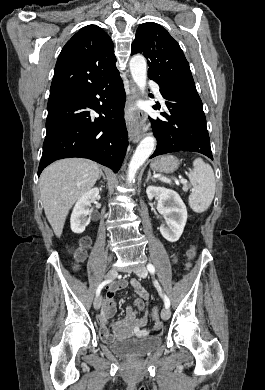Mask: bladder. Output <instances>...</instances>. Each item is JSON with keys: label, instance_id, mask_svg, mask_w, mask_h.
<instances>
[{"label": "bladder", "instance_id": "1", "mask_svg": "<svg viewBox=\"0 0 265 390\" xmlns=\"http://www.w3.org/2000/svg\"><path fill=\"white\" fill-rule=\"evenodd\" d=\"M161 345L158 336H147L143 338H119L109 342L110 350L125 358H136L144 356Z\"/></svg>", "mask_w": 265, "mask_h": 390}]
</instances>
